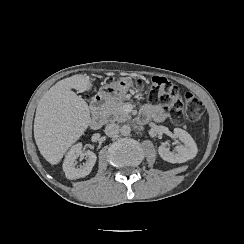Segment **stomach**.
<instances>
[{
  "label": "stomach",
  "instance_id": "1",
  "mask_svg": "<svg viewBox=\"0 0 244 244\" xmlns=\"http://www.w3.org/2000/svg\"><path fill=\"white\" fill-rule=\"evenodd\" d=\"M131 86H133L132 78L122 77L116 82L105 84L100 87L94 99L97 100V98H99L106 103L121 99Z\"/></svg>",
  "mask_w": 244,
  "mask_h": 244
}]
</instances>
